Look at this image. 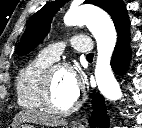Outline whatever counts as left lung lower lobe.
<instances>
[{
	"label": "left lung lower lobe",
	"mask_w": 142,
	"mask_h": 128,
	"mask_svg": "<svg viewBox=\"0 0 142 128\" xmlns=\"http://www.w3.org/2000/svg\"><path fill=\"white\" fill-rule=\"evenodd\" d=\"M129 26L130 24L118 31L117 43L111 60L113 70L121 75L125 73L128 67L131 54ZM93 109L94 112L89 119L90 126L93 128H106L109 124V118L107 117L104 98L99 93L93 97Z\"/></svg>",
	"instance_id": "left-lung-lower-lobe-1"
}]
</instances>
